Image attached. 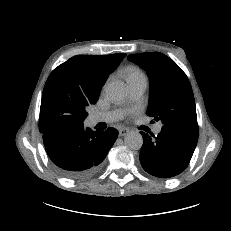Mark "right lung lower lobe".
Listing matches in <instances>:
<instances>
[{"mask_svg": "<svg viewBox=\"0 0 231 231\" xmlns=\"http://www.w3.org/2000/svg\"><path fill=\"white\" fill-rule=\"evenodd\" d=\"M42 135L46 152L59 172L68 178L82 179L101 168L118 131L113 128L93 131L80 124L48 130Z\"/></svg>", "mask_w": 231, "mask_h": 231, "instance_id": "98d812e1", "label": "right lung lower lobe"}]
</instances>
